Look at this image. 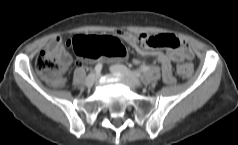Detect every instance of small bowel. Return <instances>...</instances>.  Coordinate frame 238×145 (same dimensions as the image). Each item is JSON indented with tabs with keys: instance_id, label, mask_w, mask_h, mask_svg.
Masks as SVG:
<instances>
[{
	"instance_id": "c3829d8e",
	"label": "small bowel",
	"mask_w": 238,
	"mask_h": 145,
	"mask_svg": "<svg viewBox=\"0 0 238 145\" xmlns=\"http://www.w3.org/2000/svg\"><path fill=\"white\" fill-rule=\"evenodd\" d=\"M115 34L135 49L139 55L155 58L161 64L163 80L167 84H173L175 82L173 63L190 60L193 56L188 43L171 34L149 36L146 33H139L135 35L124 30H117ZM155 48L172 49L173 51L167 53ZM47 50L57 57L64 64L65 68L71 65L72 58L66 51L60 38L51 40L47 46ZM133 62L136 65L140 64L139 60H134ZM82 63V61L78 62L79 65ZM186 64L190 65L189 63ZM61 82L62 80L60 79Z\"/></svg>"
}]
</instances>
